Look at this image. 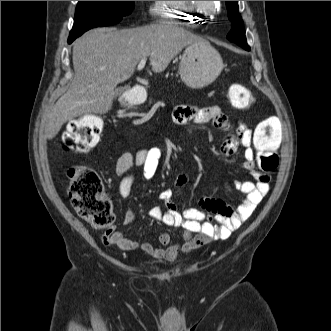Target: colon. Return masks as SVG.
Instances as JSON below:
<instances>
[{"mask_svg":"<svg viewBox=\"0 0 331 331\" xmlns=\"http://www.w3.org/2000/svg\"><path fill=\"white\" fill-rule=\"evenodd\" d=\"M228 99L237 109H246L252 103L249 90L241 84L229 87ZM104 122L95 115H86L69 123L62 137L66 151L83 153L98 143ZM283 123L276 116L264 119L256 128L254 142L262 151L258 157L261 172H273L278 166L275 150L282 141ZM68 195L77 214L98 229L110 228L115 220L112 204L104 192L98 174L85 166H73L67 172Z\"/></svg>","mask_w":331,"mask_h":331,"instance_id":"5ec220e1","label":"colon"}]
</instances>
